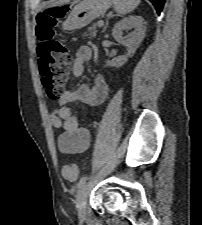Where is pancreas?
Wrapping results in <instances>:
<instances>
[{
  "label": "pancreas",
  "mask_w": 202,
  "mask_h": 225,
  "mask_svg": "<svg viewBox=\"0 0 202 225\" xmlns=\"http://www.w3.org/2000/svg\"><path fill=\"white\" fill-rule=\"evenodd\" d=\"M90 36L95 37L97 34L96 24L89 28Z\"/></svg>",
  "instance_id": "obj_1"
}]
</instances>
